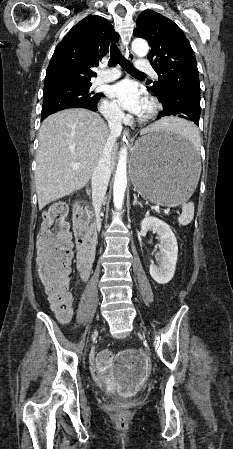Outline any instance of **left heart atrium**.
Returning <instances> with one entry per match:
<instances>
[{
	"label": "left heart atrium",
	"instance_id": "obj_1",
	"mask_svg": "<svg viewBox=\"0 0 233 449\" xmlns=\"http://www.w3.org/2000/svg\"><path fill=\"white\" fill-rule=\"evenodd\" d=\"M108 95L121 108L132 114H141L147 101L137 86L128 80L112 85Z\"/></svg>",
	"mask_w": 233,
	"mask_h": 449
}]
</instances>
